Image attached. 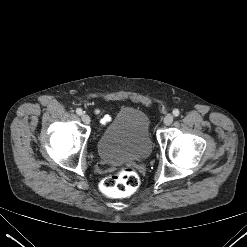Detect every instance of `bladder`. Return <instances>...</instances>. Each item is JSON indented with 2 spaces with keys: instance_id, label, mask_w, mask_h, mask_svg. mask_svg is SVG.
Instances as JSON below:
<instances>
[{
  "instance_id": "1",
  "label": "bladder",
  "mask_w": 247,
  "mask_h": 247,
  "mask_svg": "<svg viewBox=\"0 0 247 247\" xmlns=\"http://www.w3.org/2000/svg\"><path fill=\"white\" fill-rule=\"evenodd\" d=\"M97 151L100 159L110 165L148 158L152 140L147 115L133 107L121 109L101 134Z\"/></svg>"
}]
</instances>
